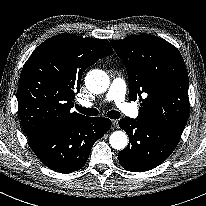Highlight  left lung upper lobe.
<instances>
[{"instance_id": "obj_1", "label": "left lung upper lobe", "mask_w": 206, "mask_h": 206, "mask_svg": "<svg viewBox=\"0 0 206 206\" xmlns=\"http://www.w3.org/2000/svg\"><path fill=\"white\" fill-rule=\"evenodd\" d=\"M110 43L125 64L129 99L142 101L137 120L182 133L189 115V80L178 49L149 34Z\"/></svg>"}]
</instances>
